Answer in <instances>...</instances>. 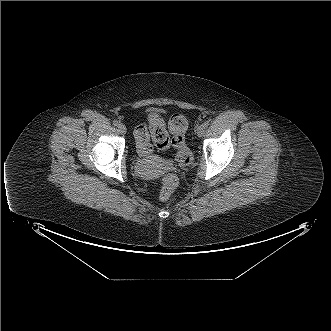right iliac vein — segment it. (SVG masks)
<instances>
[{
  "label": "right iliac vein",
  "instance_id": "right-iliac-vein-1",
  "mask_svg": "<svg viewBox=\"0 0 331 331\" xmlns=\"http://www.w3.org/2000/svg\"><path fill=\"white\" fill-rule=\"evenodd\" d=\"M117 128H118V131L121 134H126L127 128H126V126L124 124L120 123Z\"/></svg>",
  "mask_w": 331,
  "mask_h": 331
}]
</instances>
